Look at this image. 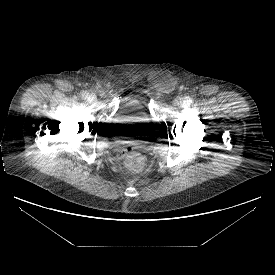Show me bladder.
I'll list each match as a JSON object with an SVG mask.
<instances>
[{
    "mask_svg": "<svg viewBox=\"0 0 275 275\" xmlns=\"http://www.w3.org/2000/svg\"><path fill=\"white\" fill-rule=\"evenodd\" d=\"M141 108V105H138ZM151 123L149 115L141 112L139 115H128L122 112H116L110 124L114 127H147Z\"/></svg>",
    "mask_w": 275,
    "mask_h": 275,
    "instance_id": "1",
    "label": "bladder"
}]
</instances>
